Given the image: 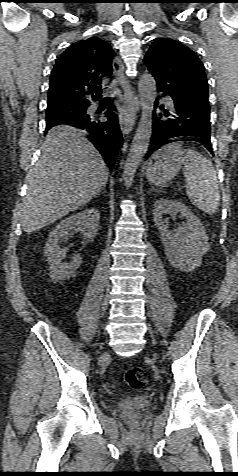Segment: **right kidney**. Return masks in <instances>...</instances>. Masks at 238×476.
Returning <instances> with one entry per match:
<instances>
[{
    "label": "right kidney",
    "instance_id": "1",
    "mask_svg": "<svg viewBox=\"0 0 238 476\" xmlns=\"http://www.w3.org/2000/svg\"><path fill=\"white\" fill-rule=\"evenodd\" d=\"M100 213L98 210L86 209L61 221L50 233L44 248L52 277L56 281L68 279L82 263L81 255H74L69 263H62L63 252L59 242L74 231H80L88 242L92 241L99 229Z\"/></svg>",
    "mask_w": 238,
    "mask_h": 476
}]
</instances>
